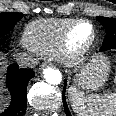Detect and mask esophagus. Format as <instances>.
Segmentation results:
<instances>
[{"label": "esophagus", "instance_id": "obj_1", "mask_svg": "<svg viewBox=\"0 0 116 116\" xmlns=\"http://www.w3.org/2000/svg\"><path fill=\"white\" fill-rule=\"evenodd\" d=\"M51 65L50 63H42L40 66H39V70H43L45 67Z\"/></svg>", "mask_w": 116, "mask_h": 116}]
</instances>
